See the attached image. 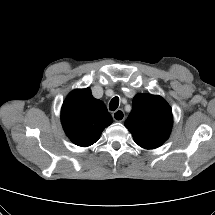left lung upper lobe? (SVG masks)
Masks as SVG:
<instances>
[{
	"label": "left lung upper lobe",
	"instance_id": "left-lung-upper-lobe-1",
	"mask_svg": "<svg viewBox=\"0 0 215 215\" xmlns=\"http://www.w3.org/2000/svg\"><path fill=\"white\" fill-rule=\"evenodd\" d=\"M173 124L172 110L161 97L137 94L133 99L132 111L125 126L133 139L144 149H155L169 137Z\"/></svg>",
	"mask_w": 215,
	"mask_h": 215
}]
</instances>
